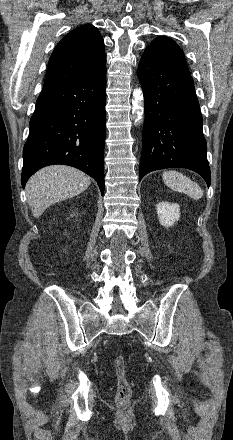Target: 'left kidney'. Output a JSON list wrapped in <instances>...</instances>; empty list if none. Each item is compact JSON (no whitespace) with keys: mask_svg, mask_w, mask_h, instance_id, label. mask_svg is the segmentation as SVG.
<instances>
[{"mask_svg":"<svg viewBox=\"0 0 233 440\" xmlns=\"http://www.w3.org/2000/svg\"><path fill=\"white\" fill-rule=\"evenodd\" d=\"M159 222L164 227L174 225L180 218V206L176 203L161 202L157 205Z\"/></svg>","mask_w":233,"mask_h":440,"instance_id":"1","label":"left kidney"}]
</instances>
